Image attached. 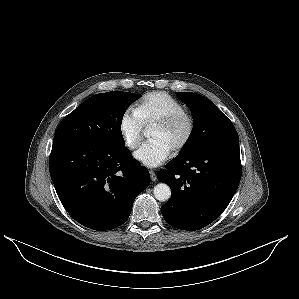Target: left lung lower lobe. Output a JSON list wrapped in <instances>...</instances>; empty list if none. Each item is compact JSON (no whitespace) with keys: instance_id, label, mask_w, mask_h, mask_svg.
Returning a JSON list of instances; mask_svg holds the SVG:
<instances>
[{"instance_id":"1","label":"left lung lower lobe","mask_w":299,"mask_h":299,"mask_svg":"<svg viewBox=\"0 0 299 299\" xmlns=\"http://www.w3.org/2000/svg\"><path fill=\"white\" fill-rule=\"evenodd\" d=\"M237 132L198 154L174 158L158 173V180L172 189L171 199L161 207L171 226L199 230L226 209L241 179Z\"/></svg>"}]
</instances>
